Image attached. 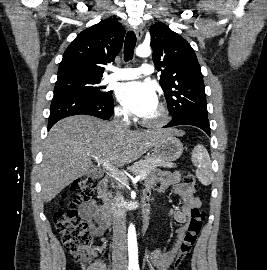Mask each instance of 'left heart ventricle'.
<instances>
[{"mask_svg":"<svg viewBox=\"0 0 267 270\" xmlns=\"http://www.w3.org/2000/svg\"><path fill=\"white\" fill-rule=\"evenodd\" d=\"M158 114V108H156L152 113H150L147 117L145 118H148V119H152V118H155Z\"/></svg>","mask_w":267,"mask_h":270,"instance_id":"b2bd125f","label":"left heart ventricle"}]
</instances>
